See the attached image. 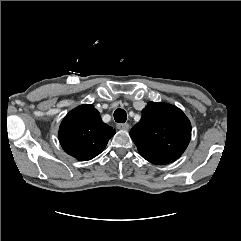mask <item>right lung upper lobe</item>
Returning <instances> with one entry per match:
<instances>
[{
  "label": "right lung upper lobe",
  "mask_w": 241,
  "mask_h": 241,
  "mask_svg": "<svg viewBox=\"0 0 241 241\" xmlns=\"http://www.w3.org/2000/svg\"><path fill=\"white\" fill-rule=\"evenodd\" d=\"M115 133V129L102 121L93 105L84 104L64 117L58 137L67 154L87 161L99 155Z\"/></svg>",
  "instance_id": "1"
}]
</instances>
